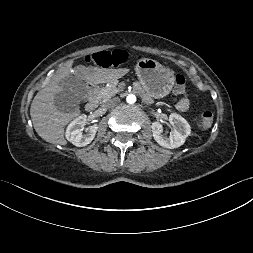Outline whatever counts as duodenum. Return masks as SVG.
<instances>
[{"instance_id": "1", "label": "duodenum", "mask_w": 253, "mask_h": 253, "mask_svg": "<svg viewBox=\"0 0 253 253\" xmlns=\"http://www.w3.org/2000/svg\"><path fill=\"white\" fill-rule=\"evenodd\" d=\"M89 99L85 105L88 112H93L98 107V87L96 84L89 85L88 87Z\"/></svg>"}]
</instances>
